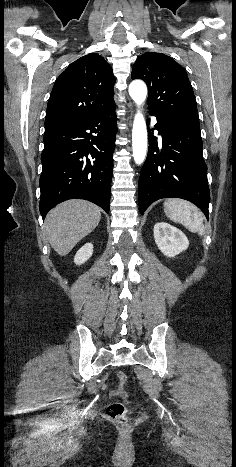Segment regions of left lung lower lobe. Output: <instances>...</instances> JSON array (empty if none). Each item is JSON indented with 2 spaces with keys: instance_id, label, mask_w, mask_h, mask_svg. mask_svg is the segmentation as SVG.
<instances>
[{
  "instance_id": "left-lung-lower-lobe-1",
  "label": "left lung lower lobe",
  "mask_w": 236,
  "mask_h": 467,
  "mask_svg": "<svg viewBox=\"0 0 236 467\" xmlns=\"http://www.w3.org/2000/svg\"><path fill=\"white\" fill-rule=\"evenodd\" d=\"M153 115L162 145L149 130V151L138 183L141 214L158 199L176 197L194 203L208 219L210 191L199 118Z\"/></svg>"
}]
</instances>
